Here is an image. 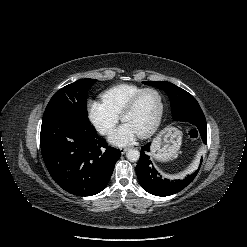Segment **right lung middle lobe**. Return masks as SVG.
I'll return each mask as SVG.
<instances>
[{"label":"right lung middle lobe","instance_id":"1","mask_svg":"<svg viewBox=\"0 0 247 247\" xmlns=\"http://www.w3.org/2000/svg\"><path fill=\"white\" fill-rule=\"evenodd\" d=\"M95 79H80L58 90L49 101L46 110L65 108L78 114L87 115V92L96 83Z\"/></svg>","mask_w":247,"mask_h":247}]
</instances>
